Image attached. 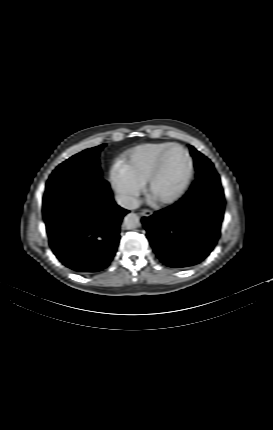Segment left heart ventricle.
<instances>
[{
    "label": "left heart ventricle",
    "instance_id": "obj_1",
    "mask_svg": "<svg viewBox=\"0 0 273 430\" xmlns=\"http://www.w3.org/2000/svg\"><path fill=\"white\" fill-rule=\"evenodd\" d=\"M188 170V161L179 149L171 150L165 157L161 172L153 186L156 198L172 195L182 184Z\"/></svg>",
    "mask_w": 273,
    "mask_h": 430
}]
</instances>
